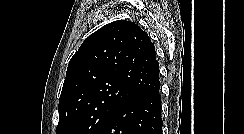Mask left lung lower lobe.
Here are the masks:
<instances>
[{
    "label": "left lung lower lobe",
    "mask_w": 244,
    "mask_h": 134,
    "mask_svg": "<svg viewBox=\"0 0 244 134\" xmlns=\"http://www.w3.org/2000/svg\"><path fill=\"white\" fill-rule=\"evenodd\" d=\"M160 87L136 94L113 112L101 134H162Z\"/></svg>",
    "instance_id": "left-lung-lower-lobe-1"
}]
</instances>
